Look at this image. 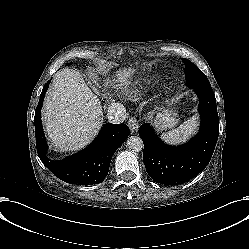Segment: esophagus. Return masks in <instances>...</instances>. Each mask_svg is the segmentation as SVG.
Instances as JSON below:
<instances>
[{"mask_svg":"<svg viewBox=\"0 0 249 249\" xmlns=\"http://www.w3.org/2000/svg\"><path fill=\"white\" fill-rule=\"evenodd\" d=\"M128 126L132 134L136 133L139 128L138 121L135 117H131L128 121Z\"/></svg>","mask_w":249,"mask_h":249,"instance_id":"34e87169","label":"esophagus"}]
</instances>
